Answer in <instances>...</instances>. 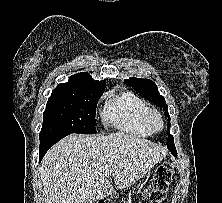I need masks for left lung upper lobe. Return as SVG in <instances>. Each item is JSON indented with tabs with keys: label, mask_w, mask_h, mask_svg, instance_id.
I'll return each instance as SVG.
<instances>
[{
	"label": "left lung upper lobe",
	"mask_w": 222,
	"mask_h": 203,
	"mask_svg": "<svg viewBox=\"0 0 222 203\" xmlns=\"http://www.w3.org/2000/svg\"><path fill=\"white\" fill-rule=\"evenodd\" d=\"M124 82L139 92L142 97L163 108L166 111L165 116L169 117L166 101L164 97L159 94L157 85L153 81L130 77L129 79L124 80ZM168 130H170V122H168ZM167 148H175L174 139L170 133L168 134Z\"/></svg>",
	"instance_id": "1"
}]
</instances>
